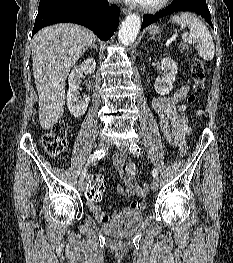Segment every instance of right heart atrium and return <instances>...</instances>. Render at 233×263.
Returning a JSON list of instances; mask_svg holds the SVG:
<instances>
[{
	"label": "right heart atrium",
	"mask_w": 233,
	"mask_h": 263,
	"mask_svg": "<svg viewBox=\"0 0 233 263\" xmlns=\"http://www.w3.org/2000/svg\"><path fill=\"white\" fill-rule=\"evenodd\" d=\"M110 1H113V2H115L116 0H110Z\"/></svg>",
	"instance_id": "right-heart-atrium-1"
}]
</instances>
